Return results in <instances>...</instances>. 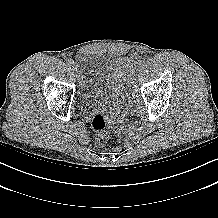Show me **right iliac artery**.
Here are the masks:
<instances>
[{
	"label": "right iliac artery",
	"mask_w": 218,
	"mask_h": 218,
	"mask_svg": "<svg viewBox=\"0 0 218 218\" xmlns=\"http://www.w3.org/2000/svg\"><path fill=\"white\" fill-rule=\"evenodd\" d=\"M67 64L70 66V65L74 64V61L72 59H68Z\"/></svg>",
	"instance_id": "right-iliac-artery-1"
}]
</instances>
